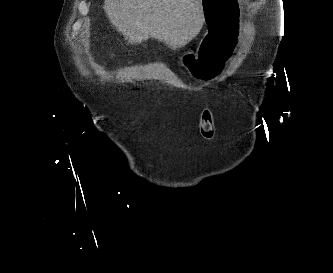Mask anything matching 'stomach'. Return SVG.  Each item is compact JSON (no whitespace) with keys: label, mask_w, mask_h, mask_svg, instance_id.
Segmentation results:
<instances>
[{"label":"stomach","mask_w":333,"mask_h":273,"mask_svg":"<svg viewBox=\"0 0 333 273\" xmlns=\"http://www.w3.org/2000/svg\"><path fill=\"white\" fill-rule=\"evenodd\" d=\"M240 0H200L203 5L205 22L212 31H207L206 39L202 40L198 53L184 54L180 64L189 71L190 76L201 82H210L218 75H227L225 60L228 56H236L238 44H229L231 32H239L237 16L245 14Z\"/></svg>","instance_id":"obj_1"}]
</instances>
